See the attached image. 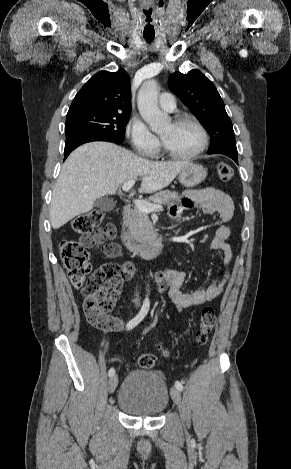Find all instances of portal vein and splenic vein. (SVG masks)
Wrapping results in <instances>:
<instances>
[{
	"label": "portal vein and splenic vein",
	"mask_w": 291,
	"mask_h": 469,
	"mask_svg": "<svg viewBox=\"0 0 291 469\" xmlns=\"http://www.w3.org/2000/svg\"><path fill=\"white\" fill-rule=\"evenodd\" d=\"M135 181L136 180L134 179V180H129L125 182L122 186V190L123 191L130 190L134 186ZM133 202L135 206L144 213H150L153 211L163 210V206L160 204H151L143 200H134Z\"/></svg>",
	"instance_id": "portal-vein-and-splenic-vein-1"
}]
</instances>
